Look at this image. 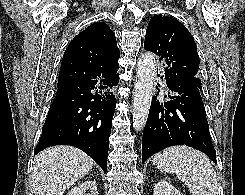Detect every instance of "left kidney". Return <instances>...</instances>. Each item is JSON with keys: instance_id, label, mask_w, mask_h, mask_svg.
I'll return each instance as SVG.
<instances>
[{"instance_id": "left-kidney-1", "label": "left kidney", "mask_w": 245, "mask_h": 195, "mask_svg": "<svg viewBox=\"0 0 245 195\" xmlns=\"http://www.w3.org/2000/svg\"><path fill=\"white\" fill-rule=\"evenodd\" d=\"M153 195H182L172 184L165 180H160L154 186Z\"/></svg>"}]
</instances>
